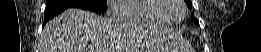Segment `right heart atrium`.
<instances>
[{
  "label": "right heart atrium",
  "instance_id": "d8ad5b80",
  "mask_svg": "<svg viewBox=\"0 0 261 52\" xmlns=\"http://www.w3.org/2000/svg\"><path fill=\"white\" fill-rule=\"evenodd\" d=\"M119 2H121V0H111V1H108V5H109V7H114V6H115L117 3H119ZM114 11H115V13L118 15V13L116 12L115 9H114ZM109 13H110L111 15H113L111 9L109 10Z\"/></svg>",
  "mask_w": 261,
  "mask_h": 52
}]
</instances>
